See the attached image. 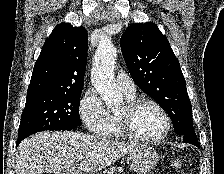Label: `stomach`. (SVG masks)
<instances>
[{
  "mask_svg": "<svg viewBox=\"0 0 224 174\" xmlns=\"http://www.w3.org/2000/svg\"><path fill=\"white\" fill-rule=\"evenodd\" d=\"M158 160L159 156L154 148L140 145L128 155L127 163L137 174H146L156 166Z\"/></svg>",
  "mask_w": 224,
  "mask_h": 174,
  "instance_id": "obj_1",
  "label": "stomach"
}]
</instances>
